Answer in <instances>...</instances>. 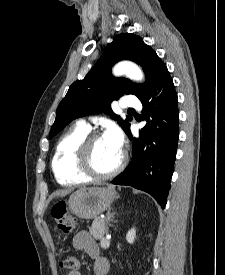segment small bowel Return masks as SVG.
<instances>
[{"mask_svg":"<svg viewBox=\"0 0 225 275\" xmlns=\"http://www.w3.org/2000/svg\"><path fill=\"white\" fill-rule=\"evenodd\" d=\"M72 246L77 251L87 253L93 259L94 275H106L109 270L108 262L99 255V248L92 236L87 231L78 232L73 240ZM68 275H81L79 271L69 272Z\"/></svg>","mask_w":225,"mask_h":275,"instance_id":"c3829d8e","label":"small bowel"}]
</instances>
